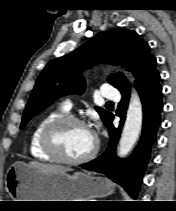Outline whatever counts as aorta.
<instances>
[{
  "instance_id": "aorta-1",
  "label": "aorta",
  "mask_w": 176,
  "mask_h": 211,
  "mask_svg": "<svg viewBox=\"0 0 176 211\" xmlns=\"http://www.w3.org/2000/svg\"><path fill=\"white\" fill-rule=\"evenodd\" d=\"M142 122L143 110L141 100L136 90L133 89L119 142V157H125L132 150L141 132Z\"/></svg>"
}]
</instances>
